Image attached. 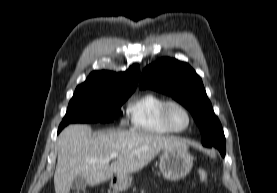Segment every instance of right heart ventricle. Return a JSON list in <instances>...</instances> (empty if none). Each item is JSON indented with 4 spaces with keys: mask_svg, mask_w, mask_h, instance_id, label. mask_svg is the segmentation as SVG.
I'll use <instances>...</instances> for the list:
<instances>
[{
    "mask_svg": "<svg viewBox=\"0 0 277 193\" xmlns=\"http://www.w3.org/2000/svg\"><path fill=\"white\" fill-rule=\"evenodd\" d=\"M167 100L153 92H147L131 101L127 115L131 126L136 131L164 135L170 131L163 125L161 110Z\"/></svg>",
    "mask_w": 277,
    "mask_h": 193,
    "instance_id": "obj_1",
    "label": "right heart ventricle"
}]
</instances>
